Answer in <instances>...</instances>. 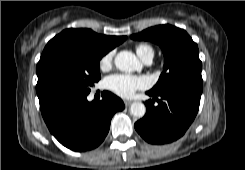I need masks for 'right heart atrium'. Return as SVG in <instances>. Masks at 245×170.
Segmentation results:
<instances>
[{"label": "right heart atrium", "instance_id": "1", "mask_svg": "<svg viewBox=\"0 0 245 170\" xmlns=\"http://www.w3.org/2000/svg\"><path fill=\"white\" fill-rule=\"evenodd\" d=\"M114 53L112 51L106 53L101 59H100V67L101 69L108 68L113 61Z\"/></svg>", "mask_w": 245, "mask_h": 170}]
</instances>
